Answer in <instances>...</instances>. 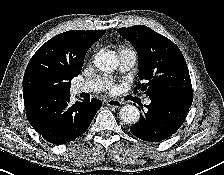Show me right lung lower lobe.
<instances>
[{
	"instance_id": "obj_1",
	"label": "right lung lower lobe",
	"mask_w": 224,
	"mask_h": 175,
	"mask_svg": "<svg viewBox=\"0 0 224 175\" xmlns=\"http://www.w3.org/2000/svg\"><path fill=\"white\" fill-rule=\"evenodd\" d=\"M27 119L33 128L53 144H64L82 135L102 102H70V93L42 94L24 99Z\"/></svg>"
}]
</instances>
